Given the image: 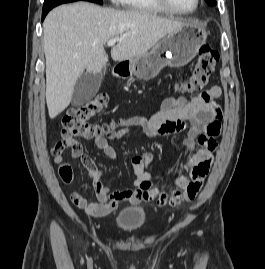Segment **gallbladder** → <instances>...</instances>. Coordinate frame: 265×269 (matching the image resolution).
I'll return each mask as SVG.
<instances>
[{"label": "gallbladder", "instance_id": "1", "mask_svg": "<svg viewBox=\"0 0 265 269\" xmlns=\"http://www.w3.org/2000/svg\"><path fill=\"white\" fill-rule=\"evenodd\" d=\"M103 73L105 68L103 72L96 75L86 72L78 78L71 99L72 106H81L97 94L103 80Z\"/></svg>", "mask_w": 265, "mask_h": 269}]
</instances>
